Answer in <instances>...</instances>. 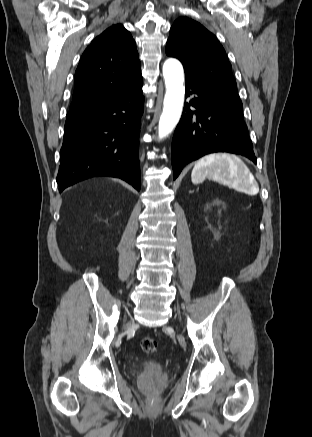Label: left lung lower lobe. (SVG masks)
<instances>
[{
  "mask_svg": "<svg viewBox=\"0 0 312 437\" xmlns=\"http://www.w3.org/2000/svg\"><path fill=\"white\" fill-rule=\"evenodd\" d=\"M193 93L195 97L185 104L172 140L174 179L187 163L213 152L240 154L256 164L243 114L223 97L186 79L185 94Z\"/></svg>",
  "mask_w": 312,
  "mask_h": 437,
  "instance_id": "left-lung-lower-lobe-1",
  "label": "left lung lower lobe"
}]
</instances>
